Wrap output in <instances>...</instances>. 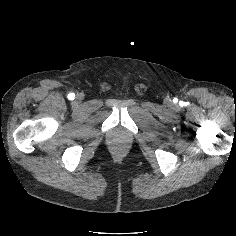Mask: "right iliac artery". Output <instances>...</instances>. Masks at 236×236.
<instances>
[{"mask_svg":"<svg viewBox=\"0 0 236 236\" xmlns=\"http://www.w3.org/2000/svg\"><path fill=\"white\" fill-rule=\"evenodd\" d=\"M74 97H75L74 93H70V94H68V98H69L70 100H73Z\"/></svg>","mask_w":236,"mask_h":236,"instance_id":"obj_1","label":"right iliac artery"}]
</instances>
